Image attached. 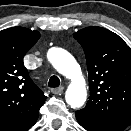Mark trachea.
<instances>
[{
  "mask_svg": "<svg viewBox=\"0 0 131 131\" xmlns=\"http://www.w3.org/2000/svg\"><path fill=\"white\" fill-rule=\"evenodd\" d=\"M60 85V79L57 76H51L49 79L48 86L51 88H56Z\"/></svg>",
  "mask_w": 131,
  "mask_h": 131,
  "instance_id": "3493384b",
  "label": "trachea"
}]
</instances>
